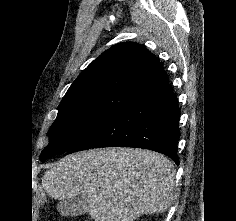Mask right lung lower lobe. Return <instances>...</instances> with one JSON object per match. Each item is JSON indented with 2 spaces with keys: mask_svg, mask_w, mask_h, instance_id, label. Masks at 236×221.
<instances>
[{
  "mask_svg": "<svg viewBox=\"0 0 236 221\" xmlns=\"http://www.w3.org/2000/svg\"><path fill=\"white\" fill-rule=\"evenodd\" d=\"M180 110L167 76L137 91L67 154L99 147H136L169 156L176 164Z\"/></svg>",
  "mask_w": 236,
  "mask_h": 221,
  "instance_id": "obj_1",
  "label": "right lung lower lobe"
}]
</instances>
